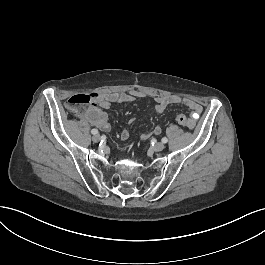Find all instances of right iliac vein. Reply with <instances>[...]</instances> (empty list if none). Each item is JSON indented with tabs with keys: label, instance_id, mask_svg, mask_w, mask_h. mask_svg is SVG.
Returning <instances> with one entry per match:
<instances>
[{
	"label": "right iliac vein",
	"instance_id": "1",
	"mask_svg": "<svg viewBox=\"0 0 265 265\" xmlns=\"http://www.w3.org/2000/svg\"><path fill=\"white\" fill-rule=\"evenodd\" d=\"M101 140V137L98 134H95L92 136V141L93 142H99Z\"/></svg>",
	"mask_w": 265,
	"mask_h": 265
}]
</instances>
